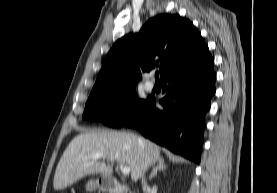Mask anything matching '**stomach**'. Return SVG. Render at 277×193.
<instances>
[{
	"label": "stomach",
	"instance_id": "0dacf381",
	"mask_svg": "<svg viewBox=\"0 0 277 193\" xmlns=\"http://www.w3.org/2000/svg\"><path fill=\"white\" fill-rule=\"evenodd\" d=\"M111 188L110 178L101 177L96 180H90L86 184V190L93 191L96 189H100L103 191H108Z\"/></svg>",
	"mask_w": 277,
	"mask_h": 193
}]
</instances>
